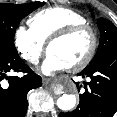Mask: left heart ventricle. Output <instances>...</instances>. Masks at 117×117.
Wrapping results in <instances>:
<instances>
[{"mask_svg": "<svg viewBox=\"0 0 117 117\" xmlns=\"http://www.w3.org/2000/svg\"><path fill=\"white\" fill-rule=\"evenodd\" d=\"M91 43L88 33H79L62 42L53 44L49 54H53L63 60L68 67L79 62L87 54Z\"/></svg>", "mask_w": 117, "mask_h": 117, "instance_id": "1", "label": "left heart ventricle"}]
</instances>
